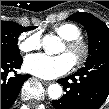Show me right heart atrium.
Returning a JSON list of instances; mask_svg holds the SVG:
<instances>
[{
	"label": "right heart atrium",
	"instance_id": "right-heart-atrium-1",
	"mask_svg": "<svg viewBox=\"0 0 109 109\" xmlns=\"http://www.w3.org/2000/svg\"><path fill=\"white\" fill-rule=\"evenodd\" d=\"M41 46V35L39 32L30 31L22 33L18 38L19 50L23 53L39 49Z\"/></svg>",
	"mask_w": 109,
	"mask_h": 109
}]
</instances>
